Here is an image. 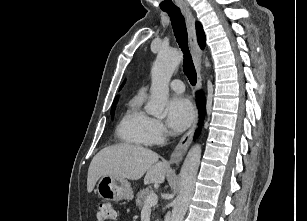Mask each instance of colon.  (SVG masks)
Instances as JSON below:
<instances>
[{"label":"colon","mask_w":307,"mask_h":221,"mask_svg":"<svg viewBox=\"0 0 307 221\" xmlns=\"http://www.w3.org/2000/svg\"><path fill=\"white\" fill-rule=\"evenodd\" d=\"M97 216L99 221L113 220L115 217L113 206L106 201L99 202Z\"/></svg>","instance_id":"colon-1"}]
</instances>
